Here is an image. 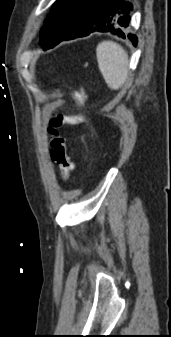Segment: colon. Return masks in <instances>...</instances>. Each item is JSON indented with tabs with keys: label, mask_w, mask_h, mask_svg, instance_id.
Masks as SVG:
<instances>
[{
	"label": "colon",
	"mask_w": 171,
	"mask_h": 337,
	"mask_svg": "<svg viewBox=\"0 0 171 337\" xmlns=\"http://www.w3.org/2000/svg\"><path fill=\"white\" fill-rule=\"evenodd\" d=\"M72 99L78 109L77 112H58L49 121L48 133L51 136L49 147L51 159L58 165L61 178L67 181L74 170V163L68 151L66 139L61 136L58 129L62 126H74L83 123L82 110L85 106L87 95L82 86L72 90Z\"/></svg>",
	"instance_id": "5ec220e1"
}]
</instances>
